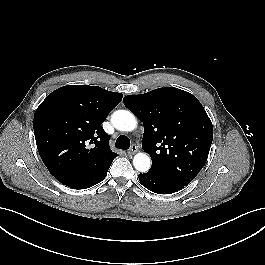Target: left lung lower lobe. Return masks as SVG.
Returning <instances> with one entry per match:
<instances>
[{"label": "left lung lower lobe", "mask_w": 265, "mask_h": 265, "mask_svg": "<svg viewBox=\"0 0 265 265\" xmlns=\"http://www.w3.org/2000/svg\"><path fill=\"white\" fill-rule=\"evenodd\" d=\"M138 177L144 187L158 194L174 193L186 186L152 171L139 174Z\"/></svg>", "instance_id": "obj_1"}]
</instances>
